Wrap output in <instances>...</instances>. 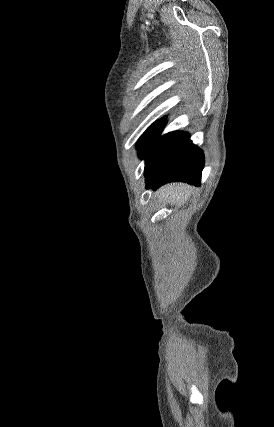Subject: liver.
I'll list each match as a JSON object with an SVG mask.
<instances>
[{"label":"liver","instance_id":"1","mask_svg":"<svg viewBox=\"0 0 274 427\" xmlns=\"http://www.w3.org/2000/svg\"><path fill=\"white\" fill-rule=\"evenodd\" d=\"M192 188L188 184H167L162 186L158 192V196H164V200H167L169 204H176V206H182L191 196Z\"/></svg>","mask_w":274,"mask_h":427}]
</instances>
